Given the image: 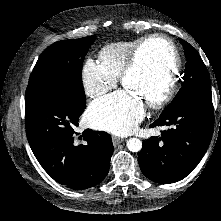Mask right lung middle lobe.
<instances>
[{
	"mask_svg": "<svg viewBox=\"0 0 221 221\" xmlns=\"http://www.w3.org/2000/svg\"><path fill=\"white\" fill-rule=\"evenodd\" d=\"M96 37L55 42L40 55L30 76L25 95L29 104L55 87L71 90L86 101L82 84L83 60Z\"/></svg>",
	"mask_w": 221,
	"mask_h": 221,
	"instance_id": "dd1d6c3e",
	"label": "right lung middle lobe"
}]
</instances>
